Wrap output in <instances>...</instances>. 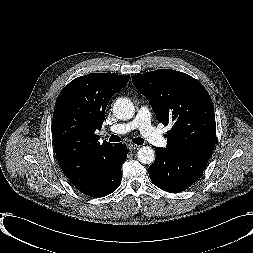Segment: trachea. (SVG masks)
Returning <instances> with one entry per match:
<instances>
[{"label":"trachea","mask_w":253,"mask_h":253,"mask_svg":"<svg viewBox=\"0 0 253 253\" xmlns=\"http://www.w3.org/2000/svg\"><path fill=\"white\" fill-rule=\"evenodd\" d=\"M109 141L110 142H120L121 138L117 135L112 134L109 138ZM132 142L137 144V145H142L144 143V139L140 138V137H137V138H133Z\"/></svg>","instance_id":"obj_1"}]
</instances>
